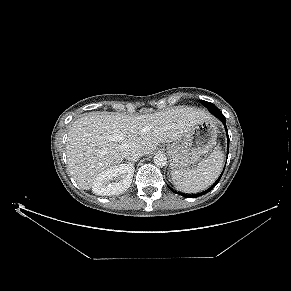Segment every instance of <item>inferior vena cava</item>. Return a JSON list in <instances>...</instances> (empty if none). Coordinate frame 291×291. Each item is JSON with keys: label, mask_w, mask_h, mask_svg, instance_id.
Returning a JSON list of instances; mask_svg holds the SVG:
<instances>
[{"label": "inferior vena cava", "mask_w": 291, "mask_h": 291, "mask_svg": "<svg viewBox=\"0 0 291 291\" xmlns=\"http://www.w3.org/2000/svg\"><path fill=\"white\" fill-rule=\"evenodd\" d=\"M143 155L142 151L137 146H130L124 151L125 159L136 161Z\"/></svg>", "instance_id": "1"}]
</instances>
